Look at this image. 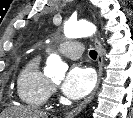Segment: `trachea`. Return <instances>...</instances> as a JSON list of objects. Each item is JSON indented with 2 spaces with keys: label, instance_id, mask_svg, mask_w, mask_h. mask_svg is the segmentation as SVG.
Listing matches in <instances>:
<instances>
[{
  "label": "trachea",
  "instance_id": "obj_1",
  "mask_svg": "<svg viewBox=\"0 0 133 118\" xmlns=\"http://www.w3.org/2000/svg\"><path fill=\"white\" fill-rule=\"evenodd\" d=\"M90 57L92 59H96L97 58V52L95 50H91L89 53Z\"/></svg>",
  "mask_w": 133,
  "mask_h": 118
}]
</instances>
